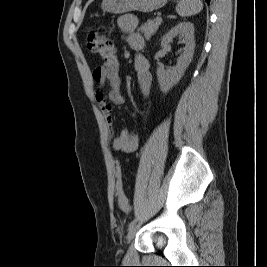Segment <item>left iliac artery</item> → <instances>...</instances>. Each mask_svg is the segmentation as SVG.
<instances>
[{
  "label": "left iliac artery",
  "mask_w": 267,
  "mask_h": 267,
  "mask_svg": "<svg viewBox=\"0 0 267 267\" xmlns=\"http://www.w3.org/2000/svg\"><path fill=\"white\" fill-rule=\"evenodd\" d=\"M135 223H136V220H135V219L132 220V221L129 223L128 228L130 229L132 226L135 225Z\"/></svg>",
  "instance_id": "44dca946"
}]
</instances>
